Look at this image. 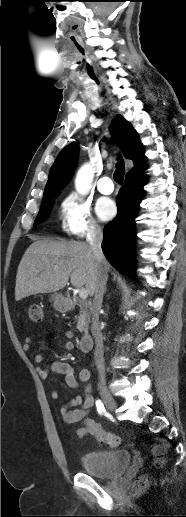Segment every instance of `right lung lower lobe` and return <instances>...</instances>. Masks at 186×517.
<instances>
[{
    "mask_svg": "<svg viewBox=\"0 0 186 517\" xmlns=\"http://www.w3.org/2000/svg\"><path fill=\"white\" fill-rule=\"evenodd\" d=\"M144 167L126 176L116 203L117 217L104 228L102 250L108 261L118 271L132 276L134 219L144 194L146 175Z\"/></svg>",
    "mask_w": 186,
    "mask_h": 517,
    "instance_id": "98d812e1",
    "label": "right lung lower lobe"
}]
</instances>
